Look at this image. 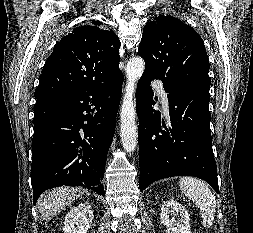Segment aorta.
<instances>
[{
	"label": "aorta",
	"instance_id": "1",
	"mask_svg": "<svg viewBox=\"0 0 253 233\" xmlns=\"http://www.w3.org/2000/svg\"><path fill=\"white\" fill-rule=\"evenodd\" d=\"M145 69L144 60L141 57L131 58L126 66L127 84L121 106L120 137L124 150L133 152L137 146L136 110L133 96L136 83Z\"/></svg>",
	"mask_w": 253,
	"mask_h": 233
}]
</instances>
